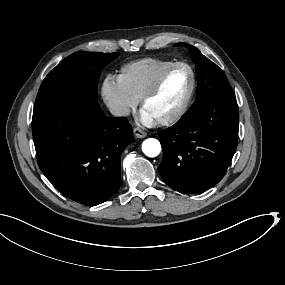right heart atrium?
Returning a JSON list of instances; mask_svg holds the SVG:
<instances>
[{
    "label": "right heart atrium",
    "mask_w": 285,
    "mask_h": 285,
    "mask_svg": "<svg viewBox=\"0 0 285 285\" xmlns=\"http://www.w3.org/2000/svg\"><path fill=\"white\" fill-rule=\"evenodd\" d=\"M101 94L109 111L118 118H125L132 108L138 104V99L127 90L113 72H107L101 81Z\"/></svg>",
    "instance_id": "1"
}]
</instances>
